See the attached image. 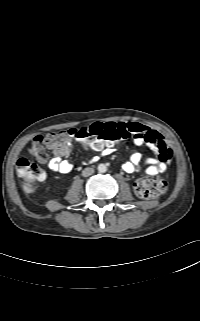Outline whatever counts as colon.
Returning <instances> with one entry per match:
<instances>
[{"label":"colon","mask_w":200,"mask_h":321,"mask_svg":"<svg viewBox=\"0 0 200 321\" xmlns=\"http://www.w3.org/2000/svg\"><path fill=\"white\" fill-rule=\"evenodd\" d=\"M125 133L101 124L84 126L73 131H57L45 136L34 138L30 146V154L41 162L47 158L46 149L62 151L67 145L68 139H75L85 143L91 148L98 149L108 142H120L125 139ZM172 152L166 155L165 160L171 159ZM16 171L23 180L24 190L32 193L36 183L45 178V173L40 165L28 158H20L16 163ZM167 189V181L162 177H144L138 179L134 184L135 193L143 199H152L161 196Z\"/></svg>","instance_id":"5ec220e1"}]
</instances>
